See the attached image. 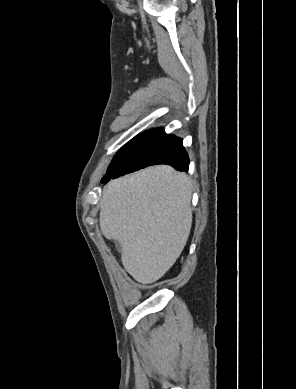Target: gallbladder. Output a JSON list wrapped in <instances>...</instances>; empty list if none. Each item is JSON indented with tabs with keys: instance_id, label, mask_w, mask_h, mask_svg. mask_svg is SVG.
I'll return each instance as SVG.
<instances>
[{
	"instance_id": "gallbladder-1",
	"label": "gallbladder",
	"mask_w": 296,
	"mask_h": 389,
	"mask_svg": "<svg viewBox=\"0 0 296 389\" xmlns=\"http://www.w3.org/2000/svg\"><path fill=\"white\" fill-rule=\"evenodd\" d=\"M115 246H116V248H117L119 251L122 250V247H121V244H120L119 241L115 240Z\"/></svg>"
}]
</instances>
